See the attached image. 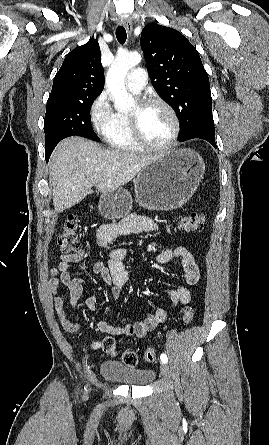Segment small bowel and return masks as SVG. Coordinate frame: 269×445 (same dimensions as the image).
I'll list each match as a JSON object with an SVG mask.
<instances>
[{
  "instance_id": "small-bowel-1",
  "label": "small bowel",
  "mask_w": 269,
  "mask_h": 445,
  "mask_svg": "<svg viewBox=\"0 0 269 445\" xmlns=\"http://www.w3.org/2000/svg\"><path fill=\"white\" fill-rule=\"evenodd\" d=\"M157 223L150 217L132 214L129 217L115 223L102 225L96 234L97 243L100 247L106 246L114 239L131 233L151 232L157 229ZM82 256L78 255H59V262L51 268V277L48 283L49 290L54 296V306L63 329L68 334L76 333L80 330L77 323L69 319L63 297L60 295L61 285L69 290V300L71 305H76L84 291V281L80 277H74L71 273L70 263L79 261ZM127 251L123 248H115L110 251L107 261H98L94 263L92 272L100 275L105 284L110 288L112 297L117 299L122 288L129 280V274L126 268ZM178 260L183 271V278L187 285H195L200 279V271L193 255L188 251L185 244H179L173 249L162 250L157 255V261L160 264H168ZM167 297L173 306L186 305L190 302L192 294L187 286H180L176 289L167 291ZM86 306L90 311L96 307V296L90 294L86 299ZM112 309H107V315L110 316ZM167 317L164 308L156 309L144 321L118 326L107 321L96 323L97 329L110 335H125L143 337L155 327L162 324ZM90 348L98 350L102 347V342L98 339H90Z\"/></svg>"
}]
</instances>
